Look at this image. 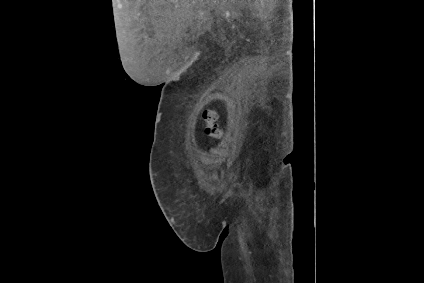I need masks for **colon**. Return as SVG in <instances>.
Segmentation results:
<instances>
[{"mask_svg": "<svg viewBox=\"0 0 424 283\" xmlns=\"http://www.w3.org/2000/svg\"><path fill=\"white\" fill-rule=\"evenodd\" d=\"M203 121L205 122V133L213 138L220 139L223 137V130L217 124V112L214 109H207L203 113Z\"/></svg>", "mask_w": 424, "mask_h": 283, "instance_id": "obj_1", "label": "colon"}]
</instances>
